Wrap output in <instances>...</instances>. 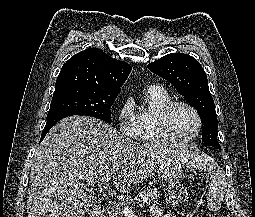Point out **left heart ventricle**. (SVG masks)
Segmentation results:
<instances>
[{
	"label": "left heart ventricle",
	"mask_w": 255,
	"mask_h": 217,
	"mask_svg": "<svg viewBox=\"0 0 255 217\" xmlns=\"http://www.w3.org/2000/svg\"><path fill=\"white\" fill-rule=\"evenodd\" d=\"M173 132L182 137L191 136L197 129V119L194 113L185 106L176 107L170 117Z\"/></svg>",
	"instance_id": "1"
}]
</instances>
